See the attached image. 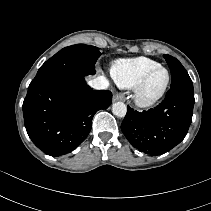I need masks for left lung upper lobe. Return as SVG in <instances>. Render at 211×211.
Instances as JSON below:
<instances>
[{"mask_svg": "<svg viewBox=\"0 0 211 211\" xmlns=\"http://www.w3.org/2000/svg\"><path fill=\"white\" fill-rule=\"evenodd\" d=\"M164 58L171 71L172 79L170 88L193 89L192 81L182 64L176 58L170 55H164Z\"/></svg>", "mask_w": 211, "mask_h": 211, "instance_id": "left-lung-upper-lobe-1", "label": "left lung upper lobe"}]
</instances>
